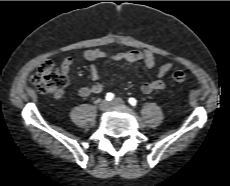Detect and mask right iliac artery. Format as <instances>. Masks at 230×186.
Wrapping results in <instances>:
<instances>
[{"label": "right iliac artery", "instance_id": "1", "mask_svg": "<svg viewBox=\"0 0 230 186\" xmlns=\"http://www.w3.org/2000/svg\"><path fill=\"white\" fill-rule=\"evenodd\" d=\"M105 98H106L107 101H111V100L114 99V94L109 92V93L106 94Z\"/></svg>", "mask_w": 230, "mask_h": 186}]
</instances>
